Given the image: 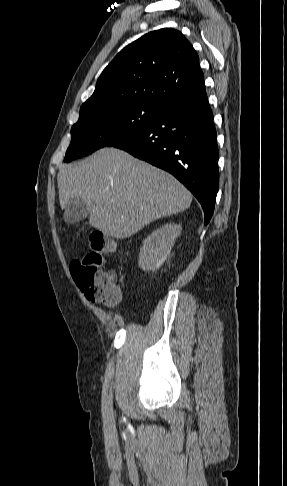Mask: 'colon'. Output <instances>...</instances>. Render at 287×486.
I'll use <instances>...</instances> for the list:
<instances>
[{"label": "colon", "mask_w": 287, "mask_h": 486, "mask_svg": "<svg viewBox=\"0 0 287 486\" xmlns=\"http://www.w3.org/2000/svg\"><path fill=\"white\" fill-rule=\"evenodd\" d=\"M89 244L91 252L71 263L73 280L88 300L114 306L121 300V291L112 274L103 269V254L112 252L115 242L95 230L90 234Z\"/></svg>", "instance_id": "obj_1"}]
</instances>
